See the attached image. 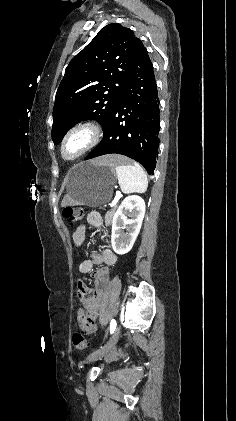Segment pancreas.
<instances>
[{"mask_svg": "<svg viewBox=\"0 0 236 421\" xmlns=\"http://www.w3.org/2000/svg\"><path fill=\"white\" fill-rule=\"evenodd\" d=\"M117 206H113V208H111V211H108V213H106V217H105V225H110L112 219H113V215L116 211Z\"/></svg>", "mask_w": 236, "mask_h": 421, "instance_id": "pancreas-1", "label": "pancreas"}]
</instances>
